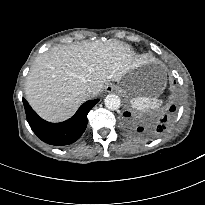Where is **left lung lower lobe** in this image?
<instances>
[{
  "label": "left lung lower lobe",
  "instance_id": "obj_1",
  "mask_svg": "<svg viewBox=\"0 0 205 205\" xmlns=\"http://www.w3.org/2000/svg\"><path fill=\"white\" fill-rule=\"evenodd\" d=\"M175 110V106H171L170 111L173 112ZM124 116H130V113L125 112ZM172 113H167L160 119L154 121V123L148 128L143 129L142 127L134 126L129 120L126 121V124L131 130L139 136L144 138H154L160 136L165 130L168 128L169 123L171 121Z\"/></svg>",
  "mask_w": 205,
  "mask_h": 205
}]
</instances>
